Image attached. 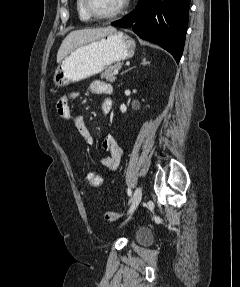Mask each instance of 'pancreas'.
Instances as JSON below:
<instances>
[{"instance_id": "1", "label": "pancreas", "mask_w": 240, "mask_h": 287, "mask_svg": "<svg viewBox=\"0 0 240 287\" xmlns=\"http://www.w3.org/2000/svg\"><path fill=\"white\" fill-rule=\"evenodd\" d=\"M122 66L121 62H117L113 66L108 67L102 74L101 77L105 78L107 81L113 83L116 80L115 70H119Z\"/></svg>"}]
</instances>
